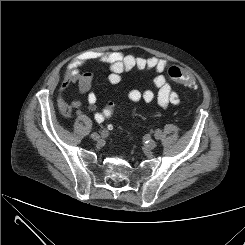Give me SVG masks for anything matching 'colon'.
Returning <instances> with one entry per match:
<instances>
[{"mask_svg": "<svg viewBox=\"0 0 245 245\" xmlns=\"http://www.w3.org/2000/svg\"><path fill=\"white\" fill-rule=\"evenodd\" d=\"M168 76L175 82H178L184 86L192 87L195 84V79L192 73L178 66H172L168 69ZM114 104L111 103L105 110V116H110L113 112ZM64 112L66 114L70 113V108L65 107Z\"/></svg>", "mask_w": 245, "mask_h": 245, "instance_id": "colon-1", "label": "colon"}]
</instances>
